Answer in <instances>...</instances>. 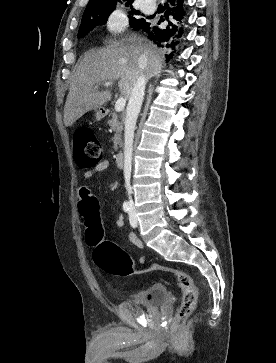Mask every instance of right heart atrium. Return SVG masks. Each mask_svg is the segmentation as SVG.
I'll use <instances>...</instances> for the list:
<instances>
[{
	"mask_svg": "<svg viewBox=\"0 0 276 363\" xmlns=\"http://www.w3.org/2000/svg\"><path fill=\"white\" fill-rule=\"evenodd\" d=\"M126 19L122 12L115 11L111 14L108 20V26L112 30H120L125 26Z\"/></svg>",
	"mask_w": 276,
	"mask_h": 363,
	"instance_id": "obj_1",
	"label": "right heart atrium"
}]
</instances>
